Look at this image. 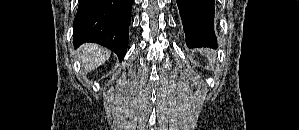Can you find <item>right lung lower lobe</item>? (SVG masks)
I'll return each mask as SVG.
<instances>
[{
  "mask_svg": "<svg viewBox=\"0 0 299 130\" xmlns=\"http://www.w3.org/2000/svg\"><path fill=\"white\" fill-rule=\"evenodd\" d=\"M134 0H79L73 22L74 46L98 43L120 60L128 47V29Z\"/></svg>",
  "mask_w": 299,
  "mask_h": 130,
  "instance_id": "obj_1",
  "label": "right lung lower lobe"
}]
</instances>
